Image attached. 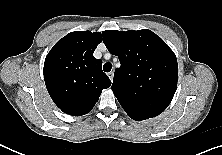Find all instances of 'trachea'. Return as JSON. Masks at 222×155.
<instances>
[{"label":"trachea","mask_w":222,"mask_h":155,"mask_svg":"<svg viewBox=\"0 0 222 155\" xmlns=\"http://www.w3.org/2000/svg\"><path fill=\"white\" fill-rule=\"evenodd\" d=\"M111 69H112V64H111V63L107 62V63L104 64L103 70H104L105 72H110Z\"/></svg>","instance_id":"1"}]
</instances>
